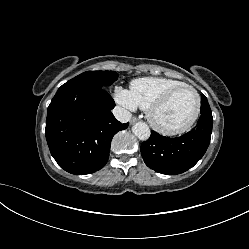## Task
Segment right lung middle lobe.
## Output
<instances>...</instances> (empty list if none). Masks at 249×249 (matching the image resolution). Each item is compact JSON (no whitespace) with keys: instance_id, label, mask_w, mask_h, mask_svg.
Listing matches in <instances>:
<instances>
[{"instance_id":"dd1d6c3e","label":"right lung middle lobe","mask_w":249,"mask_h":249,"mask_svg":"<svg viewBox=\"0 0 249 249\" xmlns=\"http://www.w3.org/2000/svg\"><path fill=\"white\" fill-rule=\"evenodd\" d=\"M117 77L118 74L114 71H88L76 76L71 80H82L95 84L100 88H104L105 86H110L113 82H115Z\"/></svg>"}]
</instances>
